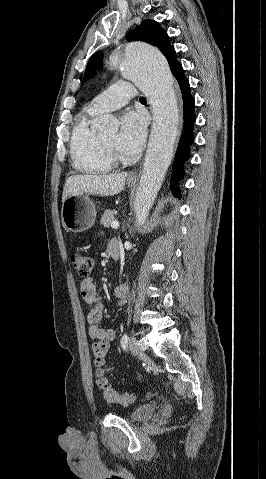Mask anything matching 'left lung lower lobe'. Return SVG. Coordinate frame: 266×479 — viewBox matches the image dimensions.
Listing matches in <instances>:
<instances>
[{
    "label": "left lung lower lobe",
    "instance_id": "1",
    "mask_svg": "<svg viewBox=\"0 0 266 479\" xmlns=\"http://www.w3.org/2000/svg\"><path fill=\"white\" fill-rule=\"evenodd\" d=\"M171 72L179 83L184 104V127L172 166L173 171L172 178L170 180L172 193L175 197L180 198L181 192L177 185L179 184L178 181H180L184 177L185 172L183 166L184 163L189 159L190 145L193 143L194 140L193 124L195 122V113L194 99L190 94L189 81L186 79L183 73V68L181 64L179 63Z\"/></svg>",
    "mask_w": 266,
    "mask_h": 479
}]
</instances>
